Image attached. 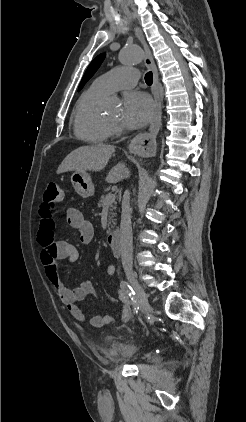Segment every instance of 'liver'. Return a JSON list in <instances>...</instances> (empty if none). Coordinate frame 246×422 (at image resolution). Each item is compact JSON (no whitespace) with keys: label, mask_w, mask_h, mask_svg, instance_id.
Listing matches in <instances>:
<instances>
[{"label":"liver","mask_w":246,"mask_h":422,"mask_svg":"<svg viewBox=\"0 0 246 422\" xmlns=\"http://www.w3.org/2000/svg\"><path fill=\"white\" fill-rule=\"evenodd\" d=\"M115 147L112 145L98 144L84 146L72 151L57 169V174L76 171H101L108 164ZM129 171L125 163L120 162L114 166L106 177V182L117 183L127 177Z\"/></svg>","instance_id":"liver-1"}]
</instances>
